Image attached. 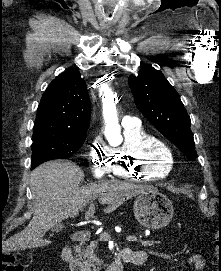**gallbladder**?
<instances>
[{"mask_svg": "<svg viewBox=\"0 0 221 271\" xmlns=\"http://www.w3.org/2000/svg\"><path fill=\"white\" fill-rule=\"evenodd\" d=\"M61 229H63L62 223H58V225H54V227H51V231H53V233H57V231H61Z\"/></svg>", "mask_w": 221, "mask_h": 271, "instance_id": "1", "label": "gallbladder"}]
</instances>
